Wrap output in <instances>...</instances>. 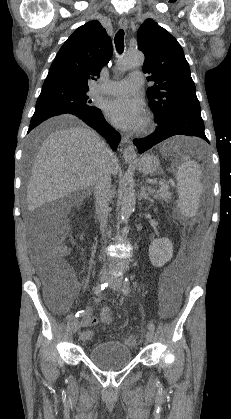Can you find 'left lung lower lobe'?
<instances>
[{
    "instance_id": "0a47b994",
    "label": "left lung lower lobe",
    "mask_w": 231,
    "mask_h": 419,
    "mask_svg": "<svg viewBox=\"0 0 231 419\" xmlns=\"http://www.w3.org/2000/svg\"><path fill=\"white\" fill-rule=\"evenodd\" d=\"M156 123L158 126L151 135L143 139L133 140L139 153H143L155 144L174 135L195 136L209 143L204 133V123L200 111L180 112L165 121L156 118Z\"/></svg>"
}]
</instances>
